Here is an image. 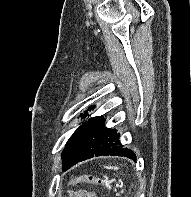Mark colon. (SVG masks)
Here are the masks:
<instances>
[{"instance_id":"1","label":"colon","mask_w":191,"mask_h":197,"mask_svg":"<svg viewBox=\"0 0 191 197\" xmlns=\"http://www.w3.org/2000/svg\"><path fill=\"white\" fill-rule=\"evenodd\" d=\"M73 182L76 183H86L91 185H111L114 183L113 179H109L107 177H95L93 175H77L73 176L72 178Z\"/></svg>"}]
</instances>
